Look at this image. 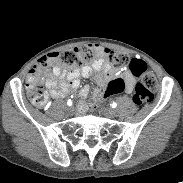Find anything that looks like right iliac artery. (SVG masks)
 <instances>
[{
	"mask_svg": "<svg viewBox=\"0 0 183 183\" xmlns=\"http://www.w3.org/2000/svg\"><path fill=\"white\" fill-rule=\"evenodd\" d=\"M72 104H73V103H72L71 100H68V101H67V105L71 106Z\"/></svg>",
	"mask_w": 183,
	"mask_h": 183,
	"instance_id": "1",
	"label": "right iliac artery"
}]
</instances>
